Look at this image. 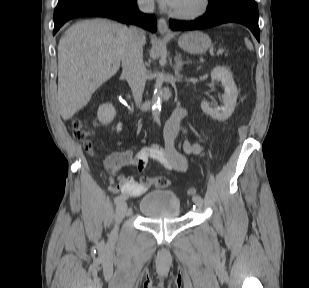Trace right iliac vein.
<instances>
[{
  "label": "right iliac vein",
  "instance_id": "1",
  "mask_svg": "<svg viewBox=\"0 0 309 288\" xmlns=\"http://www.w3.org/2000/svg\"><path fill=\"white\" fill-rule=\"evenodd\" d=\"M126 212H127L126 201L125 200H120L117 203L116 212H115V222H116V225L119 224L122 221V219L125 217ZM116 236H117V231L115 230V232L113 234V237H116Z\"/></svg>",
  "mask_w": 309,
  "mask_h": 288
}]
</instances>
